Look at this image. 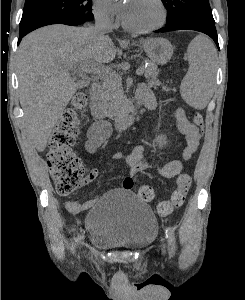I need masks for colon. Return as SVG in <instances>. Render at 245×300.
I'll list each match as a JSON object with an SVG mask.
<instances>
[{"mask_svg":"<svg viewBox=\"0 0 245 300\" xmlns=\"http://www.w3.org/2000/svg\"><path fill=\"white\" fill-rule=\"evenodd\" d=\"M86 103L87 98L82 93L73 98L72 105L62 112L48 143L50 173L57 192L63 196L79 189L85 179L83 164L72 151V147L78 134L79 112L83 110ZM194 124L200 129L203 128V118L199 113L194 116ZM190 186L191 177L185 173L179 175L176 188L169 200L158 204L159 214L162 216L170 215L182 206ZM138 196L143 201H151L154 197V190L149 185H143L138 189Z\"/></svg>","mask_w":245,"mask_h":300,"instance_id":"obj_1","label":"colon"}]
</instances>
